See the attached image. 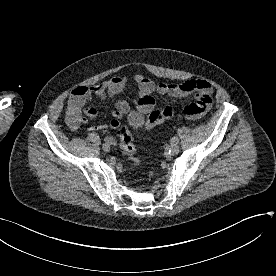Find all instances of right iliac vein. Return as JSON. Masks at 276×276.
<instances>
[{
	"instance_id": "63e3f726",
	"label": "right iliac vein",
	"mask_w": 276,
	"mask_h": 276,
	"mask_svg": "<svg viewBox=\"0 0 276 276\" xmlns=\"http://www.w3.org/2000/svg\"><path fill=\"white\" fill-rule=\"evenodd\" d=\"M102 148H103V150H104L105 152L110 151V143L105 142V143L103 144Z\"/></svg>"
}]
</instances>
